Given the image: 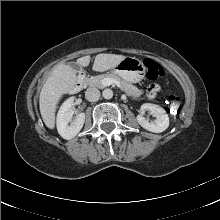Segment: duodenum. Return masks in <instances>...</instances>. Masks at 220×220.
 Returning <instances> with one entry per match:
<instances>
[{"mask_svg":"<svg viewBox=\"0 0 220 220\" xmlns=\"http://www.w3.org/2000/svg\"><path fill=\"white\" fill-rule=\"evenodd\" d=\"M84 81H85V73L82 72L76 78V80H75V82L73 84L72 90L74 92L79 91L83 87Z\"/></svg>","mask_w":220,"mask_h":220,"instance_id":"duodenum-1","label":"duodenum"}]
</instances>
